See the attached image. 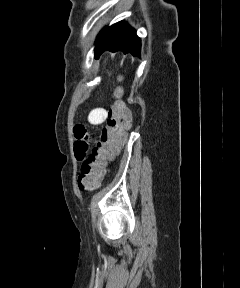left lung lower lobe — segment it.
<instances>
[{"instance_id":"1","label":"left lung lower lobe","mask_w":240,"mask_h":288,"mask_svg":"<svg viewBox=\"0 0 240 288\" xmlns=\"http://www.w3.org/2000/svg\"><path fill=\"white\" fill-rule=\"evenodd\" d=\"M140 47V39L136 32L121 21L100 32L96 40L95 58H99L105 50L112 52L121 50L124 53L130 52L133 56H140Z\"/></svg>"}]
</instances>
